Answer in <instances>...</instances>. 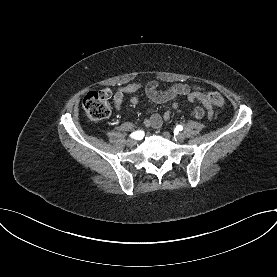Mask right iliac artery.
Masks as SVG:
<instances>
[{"label": "right iliac artery", "mask_w": 277, "mask_h": 277, "mask_svg": "<svg viewBox=\"0 0 277 277\" xmlns=\"http://www.w3.org/2000/svg\"><path fill=\"white\" fill-rule=\"evenodd\" d=\"M130 136L132 138H135V139H141L144 136V132L143 131H136V132L132 133Z\"/></svg>", "instance_id": "right-iliac-artery-1"}]
</instances>
